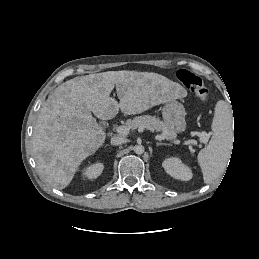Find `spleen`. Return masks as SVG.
I'll return each mask as SVG.
<instances>
[{
	"label": "spleen",
	"mask_w": 259,
	"mask_h": 259,
	"mask_svg": "<svg viewBox=\"0 0 259 259\" xmlns=\"http://www.w3.org/2000/svg\"><path fill=\"white\" fill-rule=\"evenodd\" d=\"M213 135L205 148L198 154V163L205 184L211 183L224 172L233 145L232 114L229 105L220 100L215 106L212 122Z\"/></svg>",
	"instance_id": "3e777b00"
}]
</instances>
